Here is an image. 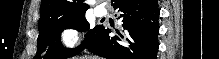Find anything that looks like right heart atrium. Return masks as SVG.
<instances>
[{"label":"right heart atrium","instance_id":"obj_1","mask_svg":"<svg viewBox=\"0 0 219 59\" xmlns=\"http://www.w3.org/2000/svg\"><path fill=\"white\" fill-rule=\"evenodd\" d=\"M60 43L66 48H73L80 42V35L74 29H65L60 34Z\"/></svg>","mask_w":219,"mask_h":59}]
</instances>
